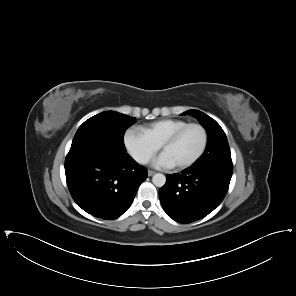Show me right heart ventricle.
<instances>
[{
  "label": "right heart ventricle",
  "mask_w": 296,
  "mask_h": 296,
  "mask_svg": "<svg viewBox=\"0 0 296 296\" xmlns=\"http://www.w3.org/2000/svg\"><path fill=\"white\" fill-rule=\"evenodd\" d=\"M189 124L181 119H164L151 124L144 129V133L159 147L175 132Z\"/></svg>",
  "instance_id": "1"
}]
</instances>
